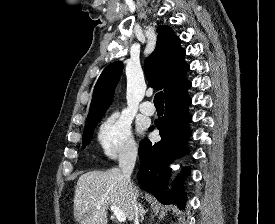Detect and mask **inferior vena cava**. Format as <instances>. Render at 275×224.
Wrapping results in <instances>:
<instances>
[{"instance_id":"obj_1","label":"inferior vena cava","mask_w":275,"mask_h":224,"mask_svg":"<svg viewBox=\"0 0 275 224\" xmlns=\"http://www.w3.org/2000/svg\"><path fill=\"white\" fill-rule=\"evenodd\" d=\"M137 154H138L137 148H133V147L128 148L127 150L119 154V167L123 173L124 180L127 182V184H129L130 190L132 192L131 203H132V208L134 213V224H139L138 223L139 210H138L136 196L133 192L130 179L136 163Z\"/></svg>"}]
</instances>
